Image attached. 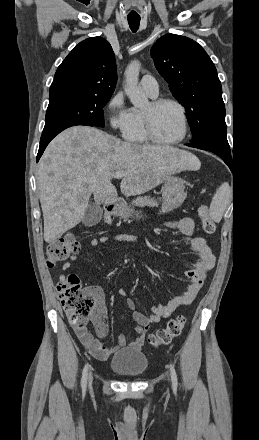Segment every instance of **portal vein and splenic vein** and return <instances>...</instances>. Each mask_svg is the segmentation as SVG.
Here are the masks:
<instances>
[{"label":"portal vein and splenic vein","instance_id":"18ae733b","mask_svg":"<svg viewBox=\"0 0 259 440\" xmlns=\"http://www.w3.org/2000/svg\"><path fill=\"white\" fill-rule=\"evenodd\" d=\"M124 176V173L119 171L114 174V178L121 179Z\"/></svg>","mask_w":259,"mask_h":440}]
</instances>
